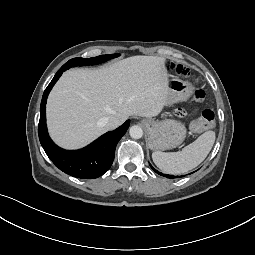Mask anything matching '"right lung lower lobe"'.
Segmentation results:
<instances>
[{
  "instance_id": "obj_1",
  "label": "right lung lower lobe",
  "mask_w": 255,
  "mask_h": 255,
  "mask_svg": "<svg viewBox=\"0 0 255 255\" xmlns=\"http://www.w3.org/2000/svg\"><path fill=\"white\" fill-rule=\"evenodd\" d=\"M69 68V66L63 65L44 91L38 125L39 139L47 156L61 171L77 178L94 179L103 175L111 167L116 145L128 129L130 120H127L116 130L105 133L83 149L68 151L55 145L47 132L46 101L54 84Z\"/></svg>"
}]
</instances>
